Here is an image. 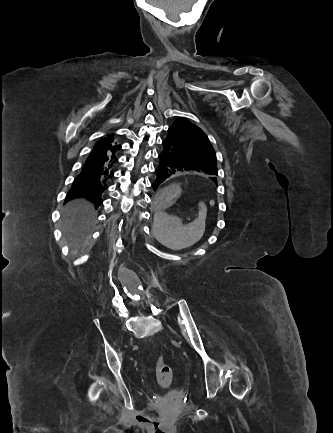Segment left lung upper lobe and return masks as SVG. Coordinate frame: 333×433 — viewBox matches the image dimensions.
Instances as JSON below:
<instances>
[{
  "label": "left lung upper lobe",
  "mask_w": 333,
  "mask_h": 433,
  "mask_svg": "<svg viewBox=\"0 0 333 433\" xmlns=\"http://www.w3.org/2000/svg\"><path fill=\"white\" fill-rule=\"evenodd\" d=\"M167 140L196 159L217 169L216 154L208 137L196 125L179 117L168 129Z\"/></svg>",
  "instance_id": "1"
}]
</instances>
